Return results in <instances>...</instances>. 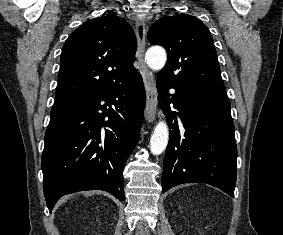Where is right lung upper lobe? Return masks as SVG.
Masks as SVG:
<instances>
[{"label": "right lung upper lobe", "instance_id": "obj_1", "mask_svg": "<svg viewBox=\"0 0 283 235\" xmlns=\"http://www.w3.org/2000/svg\"><path fill=\"white\" fill-rule=\"evenodd\" d=\"M136 37L122 18L107 14L85 21L66 40L60 58L55 104L123 83L134 68Z\"/></svg>", "mask_w": 283, "mask_h": 235}]
</instances>
